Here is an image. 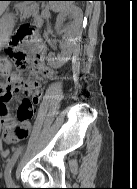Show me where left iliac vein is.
Returning a JSON list of instances; mask_svg holds the SVG:
<instances>
[{
    "label": "left iliac vein",
    "instance_id": "4c4485c4",
    "mask_svg": "<svg viewBox=\"0 0 137 189\" xmlns=\"http://www.w3.org/2000/svg\"><path fill=\"white\" fill-rule=\"evenodd\" d=\"M10 182L14 184V182H13V180H12V179H11L10 181H8V182H7V184H9Z\"/></svg>",
    "mask_w": 137,
    "mask_h": 189
}]
</instances>
